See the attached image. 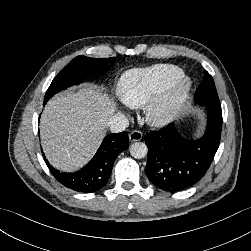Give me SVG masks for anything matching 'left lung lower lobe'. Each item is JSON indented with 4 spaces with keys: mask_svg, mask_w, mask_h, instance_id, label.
<instances>
[{
    "mask_svg": "<svg viewBox=\"0 0 251 251\" xmlns=\"http://www.w3.org/2000/svg\"><path fill=\"white\" fill-rule=\"evenodd\" d=\"M206 107L207 127L198 140H186L173 124L146 136L145 172L159 189L169 192L184 190L198 182L210 167L220 142L222 110L221 107Z\"/></svg>",
    "mask_w": 251,
    "mask_h": 251,
    "instance_id": "0a47b994",
    "label": "left lung lower lobe"
}]
</instances>
